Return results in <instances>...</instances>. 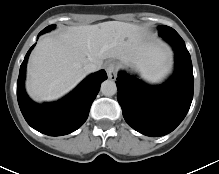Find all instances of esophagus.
<instances>
[{"instance_id": "34e87169", "label": "esophagus", "mask_w": 219, "mask_h": 174, "mask_svg": "<svg viewBox=\"0 0 219 174\" xmlns=\"http://www.w3.org/2000/svg\"><path fill=\"white\" fill-rule=\"evenodd\" d=\"M105 67H106V72L108 74V77L111 80H115L119 66L115 62L109 61L106 63Z\"/></svg>"}]
</instances>
